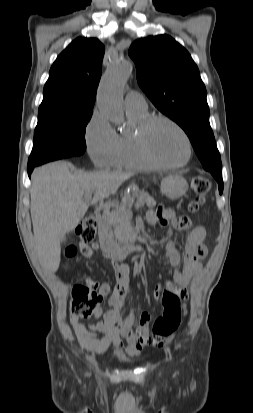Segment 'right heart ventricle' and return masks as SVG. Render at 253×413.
<instances>
[{"instance_id":"obj_1","label":"right heart ventricle","mask_w":253,"mask_h":413,"mask_svg":"<svg viewBox=\"0 0 253 413\" xmlns=\"http://www.w3.org/2000/svg\"><path fill=\"white\" fill-rule=\"evenodd\" d=\"M128 118L138 125L149 117L147 111H127ZM119 144L114 155L112 166L115 168L150 169L153 168L141 155L137 143L136 132L130 134H119Z\"/></svg>"}]
</instances>
